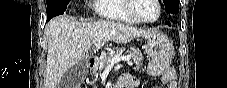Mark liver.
<instances>
[{
    "label": "liver",
    "mask_w": 227,
    "mask_h": 88,
    "mask_svg": "<svg viewBox=\"0 0 227 88\" xmlns=\"http://www.w3.org/2000/svg\"><path fill=\"white\" fill-rule=\"evenodd\" d=\"M150 33L109 20L85 23L67 15L53 18L45 28L48 43L45 88H57L66 71L84 59L85 53L95 43H128L136 37H147Z\"/></svg>",
    "instance_id": "6515ba94"
}]
</instances>
